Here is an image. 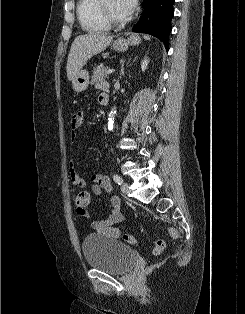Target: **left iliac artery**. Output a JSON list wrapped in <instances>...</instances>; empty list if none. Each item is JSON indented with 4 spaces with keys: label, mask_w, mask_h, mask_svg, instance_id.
<instances>
[{
    "label": "left iliac artery",
    "mask_w": 245,
    "mask_h": 314,
    "mask_svg": "<svg viewBox=\"0 0 245 314\" xmlns=\"http://www.w3.org/2000/svg\"><path fill=\"white\" fill-rule=\"evenodd\" d=\"M113 180H114L117 184H119V185H121V184L123 183V179H122L119 175H117V174H114V175H113Z\"/></svg>",
    "instance_id": "obj_1"
}]
</instances>
